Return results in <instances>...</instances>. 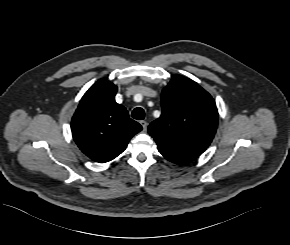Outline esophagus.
<instances>
[{
	"label": "esophagus",
	"instance_id": "1",
	"mask_svg": "<svg viewBox=\"0 0 290 245\" xmlns=\"http://www.w3.org/2000/svg\"><path fill=\"white\" fill-rule=\"evenodd\" d=\"M140 124H141L142 127H143V131H146V130H147V125H148V123H147L146 121L142 120V121H140Z\"/></svg>",
	"mask_w": 290,
	"mask_h": 245
}]
</instances>
